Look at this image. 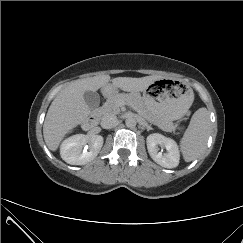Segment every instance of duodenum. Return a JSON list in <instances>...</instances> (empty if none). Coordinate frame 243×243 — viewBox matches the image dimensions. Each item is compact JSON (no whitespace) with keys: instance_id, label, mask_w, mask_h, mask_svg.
I'll list each match as a JSON object with an SVG mask.
<instances>
[{"instance_id":"410a0bca","label":"duodenum","mask_w":243,"mask_h":243,"mask_svg":"<svg viewBox=\"0 0 243 243\" xmlns=\"http://www.w3.org/2000/svg\"><path fill=\"white\" fill-rule=\"evenodd\" d=\"M112 93H113V90H112L111 88H106V89L104 90V95H105L106 97L110 96ZM98 120H99V115H98V113H93V114H91V115L86 119V121H85L84 124H83L84 129H86V130H92V129H94V128L97 126V124H98Z\"/></svg>"}]
</instances>
